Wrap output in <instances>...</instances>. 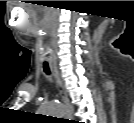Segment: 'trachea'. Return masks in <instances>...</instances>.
I'll return each mask as SVG.
<instances>
[{
  "label": "trachea",
  "mask_w": 134,
  "mask_h": 123,
  "mask_svg": "<svg viewBox=\"0 0 134 123\" xmlns=\"http://www.w3.org/2000/svg\"><path fill=\"white\" fill-rule=\"evenodd\" d=\"M43 70L44 72L49 75L50 74V69H49V66H48V63L47 62H44L43 63Z\"/></svg>",
  "instance_id": "obj_1"
}]
</instances>
